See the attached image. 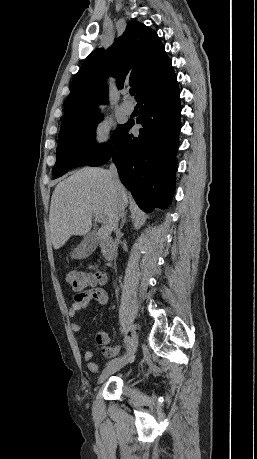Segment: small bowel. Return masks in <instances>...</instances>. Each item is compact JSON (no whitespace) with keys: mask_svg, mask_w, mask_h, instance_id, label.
Returning <instances> with one entry per match:
<instances>
[{"mask_svg":"<svg viewBox=\"0 0 257 459\" xmlns=\"http://www.w3.org/2000/svg\"><path fill=\"white\" fill-rule=\"evenodd\" d=\"M96 301L101 305H105L109 301V296L106 290L103 287L95 286L87 290L86 295L82 299H77L75 297L73 303L71 304L68 310V316L70 318H75L79 312H83L87 309L88 305L92 302ZM81 329V325L78 322L71 323V330L73 332H79ZM96 342L101 348L102 353L107 357L115 356L118 351L119 347H111L110 346V337L105 331H99L96 334ZM83 358L86 362L87 368L92 373L98 372V366L94 361V356L92 351L86 350L83 353Z\"/></svg>","mask_w":257,"mask_h":459,"instance_id":"obj_1","label":"small bowel"}]
</instances>
